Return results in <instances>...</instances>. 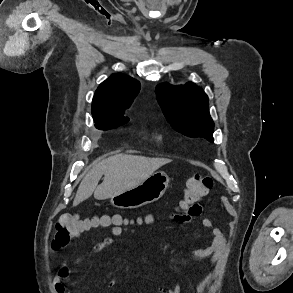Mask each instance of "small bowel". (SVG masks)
<instances>
[{
	"label": "small bowel",
	"instance_id": "small-bowel-1",
	"mask_svg": "<svg viewBox=\"0 0 293 293\" xmlns=\"http://www.w3.org/2000/svg\"><path fill=\"white\" fill-rule=\"evenodd\" d=\"M200 212H201V204L198 203L189 211L177 209V211L172 215V218L178 222H186V221H189L194 216H197ZM153 222H154V218L151 215H147L144 218H139L137 220V224L139 225L152 224ZM202 224L211 230V233L213 236L212 243L207 247H202V248L192 247L190 249L191 255L196 259H204L212 255L220 256L224 251V243H225V235L223 231L219 227L215 226V224L209 219H204L202 221ZM90 229L91 228L85 230L84 232H87ZM133 232H134V229L127 230L122 228H112V233L115 236H120L125 233H133ZM113 242L114 240L112 237H109V236L104 237L102 240H100L99 242L93 245L92 251L94 253H101V252L107 251L113 245ZM80 262H81V259H78L76 261V264H79ZM69 272H70V269L66 265H62L58 269L57 273L55 274L53 278V284H54L56 293H68L63 282L69 278ZM209 280H210V277H206L202 282L196 285L194 291L198 292L201 289H203L209 283ZM114 284H115L114 280H111L109 282L110 286H114ZM161 293H184V291L181 286L175 285L169 288L168 290H163Z\"/></svg>",
	"mask_w": 293,
	"mask_h": 293
}]
</instances>
